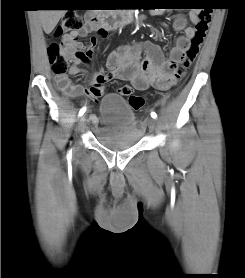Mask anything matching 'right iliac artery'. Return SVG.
I'll return each instance as SVG.
<instances>
[{
	"label": "right iliac artery",
	"instance_id": "right-iliac-artery-1",
	"mask_svg": "<svg viewBox=\"0 0 245 278\" xmlns=\"http://www.w3.org/2000/svg\"><path fill=\"white\" fill-rule=\"evenodd\" d=\"M86 111V107L81 108V110L79 111V116H82ZM69 153H71V150L69 151Z\"/></svg>",
	"mask_w": 245,
	"mask_h": 278
}]
</instances>
